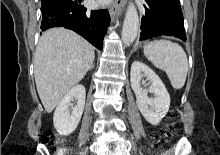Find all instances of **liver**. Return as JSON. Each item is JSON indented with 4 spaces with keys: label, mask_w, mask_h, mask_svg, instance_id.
<instances>
[{
    "label": "liver",
    "mask_w": 220,
    "mask_h": 155,
    "mask_svg": "<svg viewBox=\"0 0 220 155\" xmlns=\"http://www.w3.org/2000/svg\"><path fill=\"white\" fill-rule=\"evenodd\" d=\"M94 48L65 28L45 31L36 47L34 76L45 110L50 113L91 68Z\"/></svg>",
    "instance_id": "1"
}]
</instances>
